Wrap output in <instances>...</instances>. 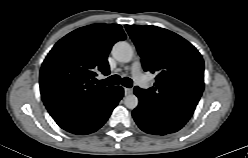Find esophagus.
I'll list each match as a JSON object with an SVG mask.
<instances>
[{
    "label": "esophagus",
    "instance_id": "obj_1",
    "mask_svg": "<svg viewBox=\"0 0 248 158\" xmlns=\"http://www.w3.org/2000/svg\"><path fill=\"white\" fill-rule=\"evenodd\" d=\"M133 91H132V89H130V88H124V94L125 95H129V94H131Z\"/></svg>",
    "mask_w": 248,
    "mask_h": 158
}]
</instances>
